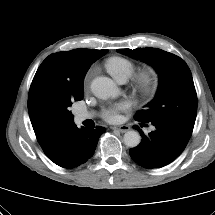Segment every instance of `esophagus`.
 <instances>
[{
    "label": "esophagus",
    "mask_w": 215,
    "mask_h": 215,
    "mask_svg": "<svg viewBox=\"0 0 215 215\" xmlns=\"http://www.w3.org/2000/svg\"><path fill=\"white\" fill-rule=\"evenodd\" d=\"M113 130H117L121 133H125L130 130V127L128 125H121V126H114L112 127Z\"/></svg>",
    "instance_id": "34e87169"
}]
</instances>
